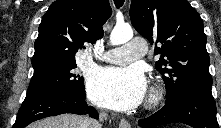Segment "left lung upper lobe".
Masks as SVG:
<instances>
[{"label": "left lung upper lobe", "mask_w": 221, "mask_h": 128, "mask_svg": "<svg viewBox=\"0 0 221 128\" xmlns=\"http://www.w3.org/2000/svg\"><path fill=\"white\" fill-rule=\"evenodd\" d=\"M134 28L162 54L156 69L166 85L165 104L191 91L211 92L210 59L198 12L186 0H132Z\"/></svg>", "instance_id": "obj_1"}]
</instances>
